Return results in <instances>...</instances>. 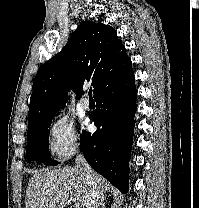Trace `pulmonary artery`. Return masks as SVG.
Masks as SVG:
<instances>
[{"mask_svg": "<svg viewBox=\"0 0 199 208\" xmlns=\"http://www.w3.org/2000/svg\"><path fill=\"white\" fill-rule=\"evenodd\" d=\"M80 107L83 110H88L90 108V102L87 97L84 96L80 99Z\"/></svg>", "mask_w": 199, "mask_h": 208, "instance_id": "e3ab8cb5", "label": "pulmonary artery"}]
</instances>
